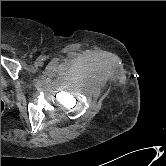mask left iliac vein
Returning a JSON list of instances; mask_svg holds the SVG:
<instances>
[{"label":"left iliac vein","mask_w":166,"mask_h":166,"mask_svg":"<svg viewBox=\"0 0 166 166\" xmlns=\"http://www.w3.org/2000/svg\"><path fill=\"white\" fill-rule=\"evenodd\" d=\"M42 65V61L40 60V59H37L36 61H35V66L36 67H40Z\"/></svg>","instance_id":"4c4485c4"}]
</instances>
